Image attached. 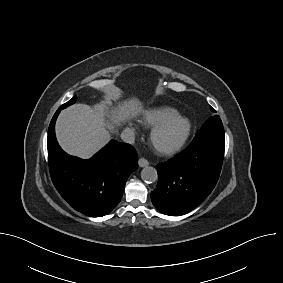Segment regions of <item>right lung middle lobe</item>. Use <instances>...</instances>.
<instances>
[{"mask_svg":"<svg viewBox=\"0 0 283 283\" xmlns=\"http://www.w3.org/2000/svg\"><path fill=\"white\" fill-rule=\"evenodd\" d=\"M76 100H77V97L74 96V97H73L71 100H69L67 103L63 104V105L60 107V109L62 110V109H64V108H66V107L72 105L73 103L76 102Z\"/></svg>","mask_w":283,"mask_h":283,"instance_id":"obj_1","label":"right lung middle lobe"}]
</instances>
